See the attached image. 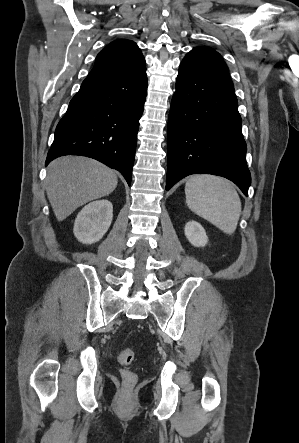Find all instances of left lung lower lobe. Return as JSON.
I'll list each match as a JSON object with an SVG mask.
<instances>
[{"label":"left lung lower lobe","instance_id":"left-lung-lower-lobe-1","mask_svg":"<svg viewBox=\"0 0 299 443\" xmlns=\"http://www.w3.org/2000/svg\"><path fill=\"white\" fill-rule=\"evenodd\" d=\"M241 123L233 85L180 66L168 121L166 190L188 175L213 174L248 196Z\"/></svg>","mask_w":299,"mask_h":443}]
</instances>
